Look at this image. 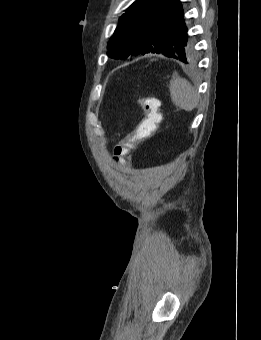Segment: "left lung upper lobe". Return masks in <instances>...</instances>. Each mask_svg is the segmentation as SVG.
<instances>
[{
  "label": "left lung upper lobe",
  "mask_w": 261,
  "mask_h": 340,
  "mask_svg": "<svg viewBox=\"0 0 261 340\" xmlns=\"http://www.w3.org/2000/svg\"><path fill=\"white\" fill-rule=\"evenodd\" d=\"M166 1L136 0L119 19L109 40V56L123 59L167 50L187 63L195 54L193 37L188 35L183 16L169 20L160 13Z\"/></svg>",
  "instance_id": "1"
}]
</instances>
